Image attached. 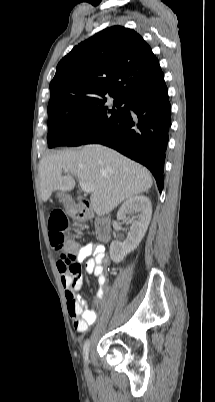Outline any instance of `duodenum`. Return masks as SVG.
<instances>
[{"label": "duodenum", "instance_id": "410a0bca", "mask_svg": "<svg viewBox=\"0 0 215 402\" xmlns=\"http://www.w3.org/2000/svg\"><path fill=\"white\" fill-rule=\"evenodd\" d=\"M71 216L78 221H85L94 217L93 212L85 201L71 203L68 207ZM96 236L101 242H108L111 238V221L103 216L95 217Z\"/></svg>", "mask_w": 215, "mask_h": 402}]
</instances>
